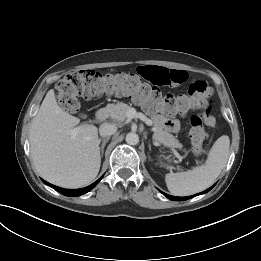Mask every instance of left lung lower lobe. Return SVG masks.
<instances>
[{"label":"left lung lower lobe","instance_id":"0a47b994","mask_svg":"<svg viewBox=\"0 0 261 261\" xmlns=\"http://www.w3.org/2000/svg\"><path fill=\"white\" fill-rule=\"evenodd\" d=\"M213 186H214V185H213ZM213 186L210 187L209 189H207V190H205V191L199 193V194H196V195H193V196H188V197H175V196L168 195V194H166V193H164V192H162V191H161V193H162L163 195H165L167 198L171 199V200L184 201V200H188V199H190V198H192V197H195V196H197V195L204 194V193L210 191V190L213 188Z\"/></svg>","mask_w":261,"mask_h":261}]
</instances>
